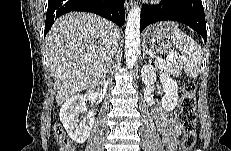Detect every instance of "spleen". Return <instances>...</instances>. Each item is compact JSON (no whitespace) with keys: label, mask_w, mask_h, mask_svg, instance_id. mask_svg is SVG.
Segmentation results:
<instances>
[{"label":"spleen","mask_w":231,"mask_h":151,"mask_svg":"<svg viewBox=\"0 0 231 151\" xmlns=\"http://www.w3.org/2000/svg\"><path fill=\"white\" fill-rule=\"evenodd\" d=\"M174 47L181 53L180 61L183 64L187 76L196 78L200 72L203 51L186 33L178 30L173 37Z\"/></svg>","instance_id":"1"}]
</instances>
